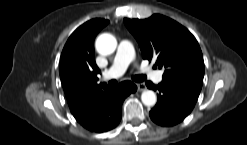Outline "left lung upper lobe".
<instances>
[{
  "label": "left lung upper lobe",
  "instance_id": "5c2ea615",
  "mask_svg": "<svg viewBox=\"0 0 247 145\" xmlns=\"http://www.w3.org/2000/svg\"><path fill=\"white\" fill-rule=\"evenodd\" d=\"M128 30L138 41L142 56L164 68L163 79L182 82L201 90L204 61L195 37L182 25L163 15L148 19H124Z\"/></svg>",
  "mask_w": 247,
  "mask_h": 145
}]
</instances>
